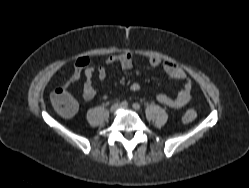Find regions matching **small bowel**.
Listing matches in <instances>:
<instances>
[{"label":"small bowel","instance_id":"obj_1","mask_svg":"<svg viewBox=\"0 0 249 188\" xmlns=\"http://www.w3.org/2000/svg\"><path fill=\"white\" fill-rule=\"evenodd\" d=\"M148 62L152 67H162L166 78L169 81L184 80V84L179 93L175 97H170L166 94H158L157 101L170 108L178 109L185 106L192 97V82L187 78L185 71L178 65L169 62L162 61L156 56H149ZM106 64H118L123 69H130L134 64V55L131 53H120L110 55L106 59ZM81 74H84L86 81L83 86V97L86 101H91L96 96V90L93 86L92 79L97 76L99 79H104L107 75V70L104 66L93 67L90 64V60L87 57H81L75 62V66L70 79L62 86L67 88L71 83L76 81ZM140 85L133 83L131 85L132 91H138Z\"/></svg>","mask_w":249,"mask_h":188}]
</instances>
